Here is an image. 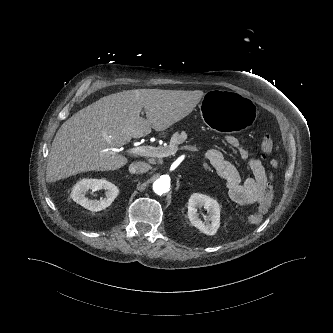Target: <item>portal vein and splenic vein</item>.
Wrapping results in <instances>:
<instances>
[{"label": "portal vein and splenic vein", "mask_w": 333, "mask_h": 333, "mask_svg": "<svg viewBox=\"0 0 333 333\" xmlns=\"http://www.w3.org/2000/svg\"><path fill=\"white\" fill-rule=\"evenodd\" d=\"M114 152H119V149H113ZM177 148L170 147H153V146H136L126 150L128 154L138 155V156H148V157H167L175 154Z\"/></svg>", "instance_id": "18ae733b"}]
</instances>
